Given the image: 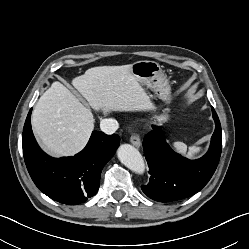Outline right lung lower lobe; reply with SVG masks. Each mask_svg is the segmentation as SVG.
<instances>
[{"label": "right lung lower lobe", "mask_w": 249, "mask_h": 249, "mask_svg": "<svg viewBox=\"0 0 249 249\" xmlns=\"http://www.w3.org/2000/svg\"><path fill=\"white\" fill-rule=\"evenodd\" d=\"M31 111L23 128L22 147L33 182L44 194L60 203L85 202L98 191L101 171L114 155L120 137L93 131L86 147L75 156L52 158L40 149L34 138Z\"/></svg>", "instance_id": "1"}]
</instances>
